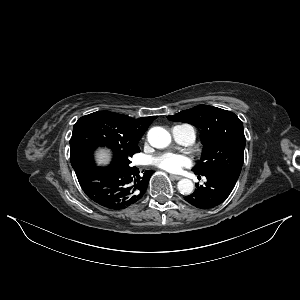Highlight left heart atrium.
Returning <instances> with one entry per match:
<instances>
[{
    "mask_svg": "<svg viewBox=\"0 0 300 300\" xmlns=\"http://www.w3.org/2000/svg\"><path fill=\"white\" fill-rule=\"evenodd\" d=\"M152 163L165 171L176 173L183 167L189 166L191 160L188 156L176 153H164L153 158Z\"/></svg>",
    "mask_w": 300,
    "mask_h": 300,
    "instance_id": "1",
    "label": "left heart atrium"
}]
</instances>
